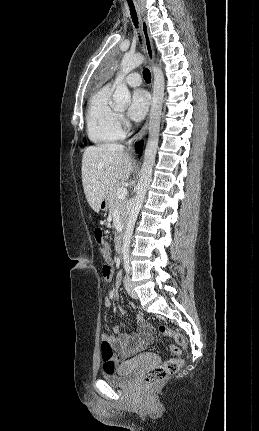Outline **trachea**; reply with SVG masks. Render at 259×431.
<instances>
[{
	"instance_id": "obj_1",
	"label": "trachea",
	"mask_w": 259,
	"mask_h": 431,
	"mask_svg": "<svg viewBox=\"0 0 259 431\" xmlns=\"http://www.w3.org/2000/svg\"><path fill=\"white\" fill-rule=\"evenodd\" d=\"M128 4L130 6L131 18L134 22V25L137 27L138 26V18H137L135 8H134L131 0H128ZM143 77L147 83H149L151 81V73L147 68L143 70Z\"/></svg>"
}]
</instances>
